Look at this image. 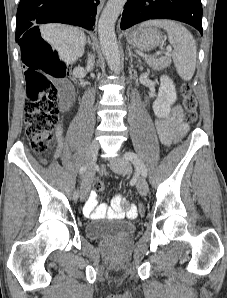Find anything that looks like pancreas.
Returning a JSON list of instances; mask_svg holds the SVG:
<instances>
[{
  "mask_svg": "<svg viewBox=\"0 0 227 298\" xmlns=\"http://www.w3.org/2000/svg\"><path fill=\"white\" fill-rule=\"evenodd\" d=\"M147 64L153 69L158 70L168 67L171 64V58L170 56H165L160 59H150L147 61Z\"/></svg>",
  "mask_w": 227,
  "mask_h": 298,
  "instance_id": "pancreas-1",
  "label": "pancreas"
}]
</instances>
